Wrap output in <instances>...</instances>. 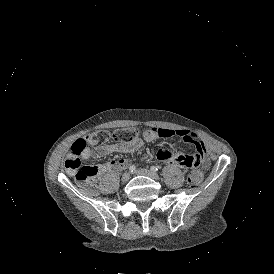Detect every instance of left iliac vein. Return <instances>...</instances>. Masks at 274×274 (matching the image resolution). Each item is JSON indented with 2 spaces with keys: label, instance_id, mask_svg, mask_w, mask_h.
I'll list each match as a JSON object with an SVG mask.
<instances>
[{
  "label": "left iliac vein",
  "instance_id": "obj_1",
  "mask_svg": "<svg viewBox=\"0 0 274 274\" xmlns=\"http://www.w3.org/2000/svg\"><path fill=\"white\" fill-rule=\"evenodd\" d=\"M133 174L147 176L155 180L159 179V175L157 173H154L148 169H138Z\"/></svg>",
  "mask_w": 274,
  "mask_h": 274
}]
</instances>
